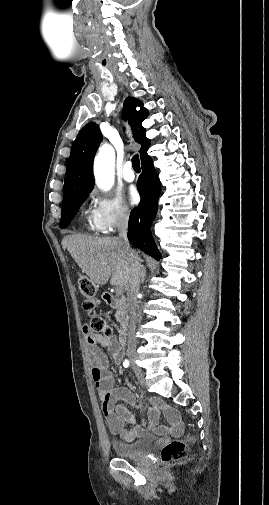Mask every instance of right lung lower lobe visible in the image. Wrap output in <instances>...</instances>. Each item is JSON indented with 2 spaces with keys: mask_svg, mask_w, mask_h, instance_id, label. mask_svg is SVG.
Returning <instances> with one entry per match:
<instances>
[{
  "mask_svg": "<svg viewBox=\"0 0 269 505\" xmlns=\"http://www.w3.org/2000/svg\"><path fill=\"white\" fill-rule=\"evenodd\" d=\"M137 187L141 196V202L138 207L131 211L128 224V239L135 247L159 260L161 255L149 229L156 216L157 201L161 193V186L150 157L142 161V175L137 182Z\"/></svg>",
  "mask_w": 269,
  "mask_h": 505,
  "instance_id": "98d812e1",
  "label": "right lung lower lobe"
}]
</instances>
